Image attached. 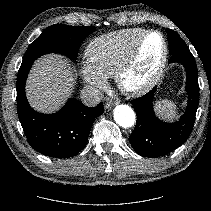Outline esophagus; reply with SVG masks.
I'll list each match as a JSON object with an SVG mask.
<instances>
[{
    "mask_svg": "<svg viewBox=\"0 0 211 211\" xmlns=\"http://www.w3.org/2000/svg\"><path fill=\"white\" fill-rule=\"evenodd\" d=\"M118 102L117 101H113V100H110L106 103L105 105V108L106 109H111L113 106H115Z\"/></svg>",
    "mask_w": 211,
    "mask_h": 211,
    "instance_id": "obj_1",
    "label": "esophagus"
}]
</instances>
